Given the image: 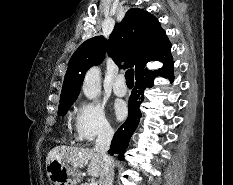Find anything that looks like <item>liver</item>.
I'll return each instance as SVG.
<instances>
[{
    "label": "liver",
    "instance_id": "1",
    "mask_svg": "<svg viewBox=\"0 0 233 185\" xmlns=\"http://www.w3.org/2000/svg\"><path fill=\"white\" fill-rule=\"evenodd\" d=\"M51 160H58L71 165L73 168H84L92 177H99L103 169L102 156L94 149L71 146H56L46 158V164Z\"/></svg>",
    "mask_w": 233,
    "mask_h": 185
}]
</instances>
